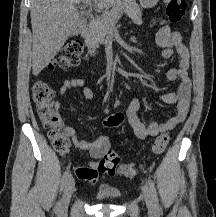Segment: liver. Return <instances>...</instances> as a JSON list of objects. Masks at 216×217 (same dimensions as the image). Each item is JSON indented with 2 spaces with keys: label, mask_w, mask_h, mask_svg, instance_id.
Wrapping results in <instances>:
<instances>
[{
  "label": "liver",
  "mask_w": 216,
  "mask_h": 217,
  "mask_svg": "<svg viewBox=\"0 0 216 217\" xmlns=\"http://www.w3.org/2000/svg\"><path fill=\"white\" fill-rule=\"evenodd\" d=\"M86 0H31L32 70L37 76L82 23L75 5ZM98 11L120 0H90Z\"/></svg>",
  "instance_id": "liver-1"
}]
</instances>
